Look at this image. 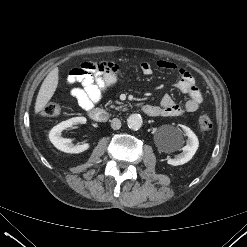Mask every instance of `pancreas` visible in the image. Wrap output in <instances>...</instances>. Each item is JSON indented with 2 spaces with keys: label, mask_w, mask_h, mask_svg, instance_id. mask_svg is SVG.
I'll return each instance as SVG.
<instances>
[{
  "label": "pancreas",
  "mask_w": 247,
  "mask_h": 247,
  "mask_svg": "<svg viewBox=\"0 0 247 247\" xmlns=\"http://www.w3.org/2000/svg\"><path fill=\"white\" fill-rule=\"evenodd\" d=\"M116 103L119 104V105H122L123 104L122 102H119V101H116ZM111 108H115V106L114 105H111ZM116 109H122V106L116 107ZM123 110H126V108H123Z\"/></svg>",
  "instance_id": "pancreas-1"
}]
</instances>
